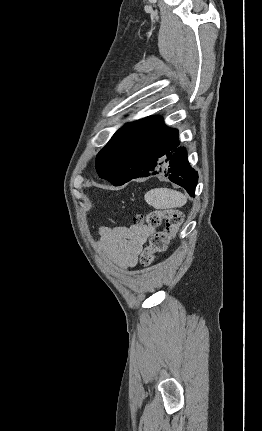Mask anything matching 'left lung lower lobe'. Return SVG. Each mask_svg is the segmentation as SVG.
Instances as JSON below:
<instances>
[{"instance_id":"1","label":"left lung lower lobe","mask_w":262,"mask_h":431,"mask_svg":"<svg viewBox=\"0 0 262 431\" xmlns=\"http://www.w3.org/2000/svg\"><path fill=\"white\" fill-rule=\"evenodd\" d=\"M131 166L128 181L163 173L194 196L198 174L187 160L186 149L179 147L178 131L175 129L156 137L145 149L138 150Z\"/></svg>"}]
</instances>
